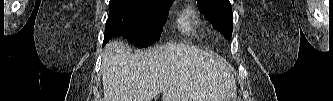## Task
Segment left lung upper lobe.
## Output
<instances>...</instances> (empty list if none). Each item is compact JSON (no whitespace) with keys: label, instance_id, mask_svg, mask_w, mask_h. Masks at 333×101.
I'll return each mask as SVG.
<instances>
[{"label":"left lung upper lobe","instance_id":"left-lung-upper-lobe-1","mask_svg":"<svg viewBox=\"0 0 333 101\" xmlns=\"http://www.w3.org/2000/svg\"><path fill=\"white\" fill-rule=\"evenodd\" d=\"M197 5L205 18L230 39L233 31V15L229 0H197Z\"/></svg>","mask_w":333,"mask_h":101}]
</instances>
